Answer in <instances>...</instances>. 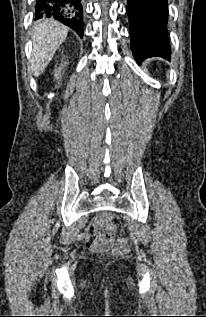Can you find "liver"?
<instances>
[{
    "instance_id": "1",
    "label": "liver",
    "mask_w": 206,
    "mask_h": 317,
    "mask_svg": "<svg viewBox=\"0 0 206 317\" xmlns=\"http://www.w3.org/2000/svg\"><path fill=\"white\" fill-rule=\"evenodd\" d=\"M67 34L68 28L52 18L35 24L31 57V71L35 77L45 70Z\"/></svg>"
}]
</instances>
